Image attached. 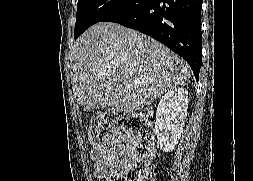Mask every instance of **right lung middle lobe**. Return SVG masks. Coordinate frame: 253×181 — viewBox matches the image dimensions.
Instances as JSON below:
<instances>
[{"label": "right lung middle lobe", "instance_id": "dd1d6c3e", "mask_svg": "<svg viewBox=\"0 0 253 181\" xmlns=\"http://www.w3.org/2000/svg\"><path fill=\"white\" fill-rule=\"evenodd\" d=\"M128 0H78L75 39L91 25L103 21Z\"/></svg>", "mask_w": 253, "mask_h": 181}]
</instances>
